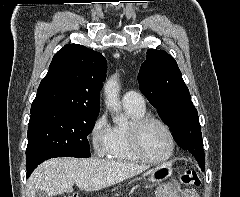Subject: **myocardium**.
Wrapping results in <instances>:
<instances>
[{"label": "myocardium", "mask_w": 240, "mask_h": 197, "mask_svg": "<svg viewBox=\"0 0 240 197\" xmlns=\"http://www.w3.org/2000/svg\"><path fill=\"white\" fill-rule=\"evenodd\" d=\"M150 123H157L161 125L164 130L166 131L169 140H170V150L169 153L161 158V159H154L151 158L144 150L142 145V132L144 128L150 124ZM128 138L130 146L133 150V152L138 156V158L144 162L154 164V165H160L163 163H166L175 154L176 150V140L173 134V131L171 127L161 118L152 116V115H145L141 118L135 119L131 122V124L128 127Z\"/></svg>", "instance_id": "1"}]
</instances>
